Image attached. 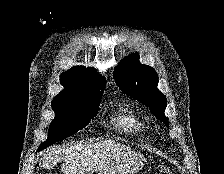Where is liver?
<instances>
[{
	"instance_id": "liver-1",
	"label": "liver",
	"mask_w": 224,
	"mask_h": 174,
	"mask_svg": "<svg viewBox=\"0 0 224 174\" xmlns=\"http://www.w3.org/2000/svg\"><path fill=\"white\" fill-rule=\"evenodd\" d=\"M130 152V147L114 141L52 146L42 156L39 165L44 169H51L63 161V174H85L94 169H101Z\"/></svg>"
}]
</instances>
